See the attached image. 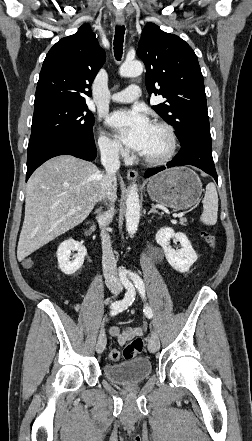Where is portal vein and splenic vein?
Instances as JSON below:
<instances>
[{"label": "portal vein and splenic vein", "instance_id": "portal-vein-and-splenic-vein-1", "mask_svg": "<svg viewBox=\"0 0 252 441\" xmlns=\"http://www.w3.org/2000/svg\"><path fill=\"white\" fill-rule=\"evenodd\" d=\"M78 210L81 209L80 207L77 208ZM185 215V213H179L177 215H175L176 218L182 219L183 216Z\"/></svg>", "mask_w": 252, "mask_h": 441}]
</instances>
